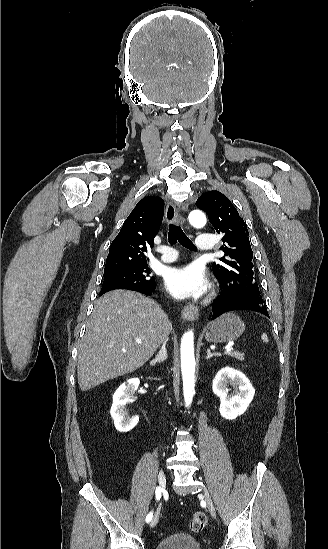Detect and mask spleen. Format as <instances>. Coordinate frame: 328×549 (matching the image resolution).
Segmentation results:
<instances>
[{
	"mask_svg": "<svg viewBox=\"0 0 328 549\" xmlns=\"http://www.w3.org/2000/svg\"><path fill=\"white\" fill-rule=\"evenodd\" d=\"M261 339H262L263 343H268V337H267L266 333H263V335H261Z\"/></svg>",
	"mask_w": 328,
	"mask_h": 549,
	"instance_id": "3e777b00",
	"label": "spleen"
}]
</instances>
